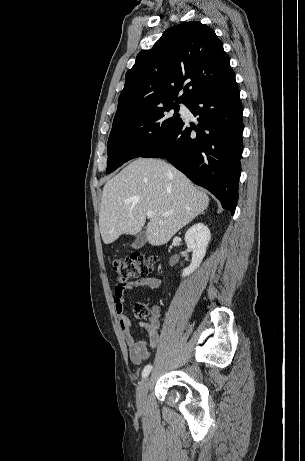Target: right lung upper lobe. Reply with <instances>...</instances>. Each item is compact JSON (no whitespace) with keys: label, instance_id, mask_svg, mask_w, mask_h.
<instances>
[{"label":"right lung upper lobe","instance_id":"1","mask_svg":"<svg viewBox=\"0 0 305 461\" xmlns=\"http://www.w3.org/2000/svg\"><path fill=\"white\" fill-rule=\"evenodd\" d=\"M230 60L215 32L198 21L169 28L152 49L141 51L126 73L113 124L172 102L188 104L229 77Z\"/></svg>","mask_w":305,"mask_h":461}]
</instances>
